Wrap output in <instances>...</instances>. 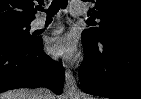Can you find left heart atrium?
<instances>
[{
	"label": "left heart atrium",
	"instance_id": "left-heart-atrium-1",
	"mask_svg": "<svg viewBox=\"0 0 141 99\" xmlns=\"http://www.w3.org/2000/svg\"><path fill=\"white\" fill-rule=\"evenodd\" d=\"M49 51L57 57L72 58L77 52V43L73 35L57 36L49 42Z\"/></svg>",
	"mask_w": 141,
	"mask_h": 99
}]
</instances>
